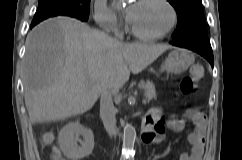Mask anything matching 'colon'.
<instances>
[{
    "label": "colon",
    "mask_w": 242,
    "mask_h": 160,
    "mask_svg": "<svg viewBox=\"0 0 242 160\" xmlns=\"http://www.w3.org/2000/svg\"><path fill=\"white\" fill-rule=\"evenodd\" d=\"M204 70L199 64H195L191 67L190 72L185 76L180 82V92L182 94H191L196 91L199 80L203 77ZM195 112V111H192ZM163 121L162 117L158 119L155 123V128L159 131H163ZM58 157V160H62Z\"/></svg>",
    "instance_id": "obj_1"
}]
</instances>
